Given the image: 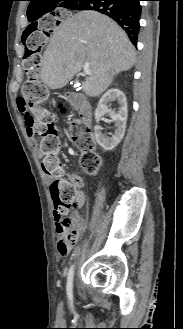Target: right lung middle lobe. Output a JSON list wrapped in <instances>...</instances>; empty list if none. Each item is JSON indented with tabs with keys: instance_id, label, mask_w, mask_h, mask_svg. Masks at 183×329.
<instances>
[{
	"instance_id": "dd1d6c3e",
	"label": "right lung middle lobe",
	"mask_w": 183,
	"mask_h": 329,
	"mask_svg": "<svg viewBox=\"0 0 183 329\" xmlns=\"http://www.w3.org/2000/svg\"><path fill=\"white\" fill-rule=\"evenodd\" d=\"M60 6H57V4H54V5H52L47 11H53L51 14H54L55 13V11L59 8ZM67 7V6H66ZM63 8H65V7H63ZM48 13H50V12H48ZM43 16V15H42ZM31 22V21H30ZM29 30H26L25 32L27 33ZM23 40H25V39H23Z\"/></svg>"
}]
</instances>
